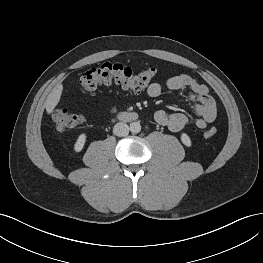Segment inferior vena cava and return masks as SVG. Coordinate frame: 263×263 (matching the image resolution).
<instances>
[{"label": "inferior vena cava", "instance_id": "obj_1", "mask_svg": "<svg viewBox=\"0 0 263 263\" xmlns=\"http://www.w3.org/2000/svg\"><path fill=\"white\" fill-rule=\"evenodd\" d=\"M129 126L126 123L119 122L113 128V133L116 136H126L129 133Z\"/></svg>", "mask_w": 263, "mask_h": 263}]
</instances>
